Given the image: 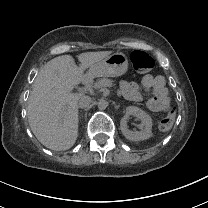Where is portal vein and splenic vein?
Wrapping results in <instances>:
<instances>
[{
	"instance_id": "portal-vein-and-splenic-vein-1",
	"label": "portal vein and splenic vein",
	"mask_w": 208,
	"mask_h": 208,
	"mask_svg": "<svg viewBox=\"0 0 208 208\" xmlns=\"http://www.w3.org/2000/svg\"><path fill=\"white\" fill-rule=\"evenodd\" d=\"M103 84H107V81H101L99 83H94L92 87H89L88 90L89 91H93V89H99L102 88L101 85Z\"/></svg>"
}]
</instances>
